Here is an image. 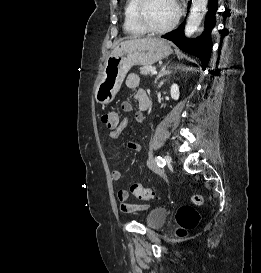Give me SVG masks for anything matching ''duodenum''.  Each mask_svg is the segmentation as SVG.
Here are the masks:
<instances>
[{"instance_id": "duodenum-1", "label": "duodenum", "mask_w": 261, "mask_h": 273, "mask_svg": "<svg viewBox=\"0 0 261 273\" xmlns=\"http://www.w3.org/2000/svg\"><path fill=\"white\" fill-rule=\"evenodd\" d=\"M148 106V100L144 104V109Z\"/></svg>"}]
</instances>
